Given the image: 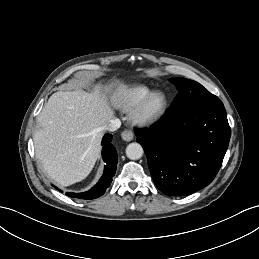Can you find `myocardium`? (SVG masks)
I'll return each instance as SVG.
<instances>
[{
    "mask_svg": "<svg viewBox=\"0 0 259 259\" xmlns=\"http://www.w3.org/2000/svg\"><path fill=\"white\" fill-rule=\"evenodd\" d=\"M160 96L162 98V105L159 110L155 112H148V105L153 98ZM168 108V99L164 92L153 91L145 96L132 110L130 120L137 126H147L157 122L166 112Z\"/></svg>",
    "mask_w": 259,
    "mask_h": 259,
    "instance_id": "f54148a6",
    "label": "myocardium"
}]
</instances>
